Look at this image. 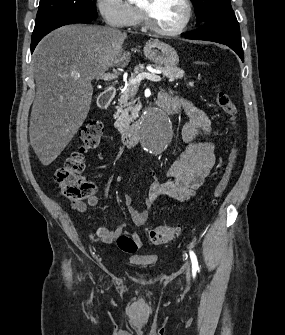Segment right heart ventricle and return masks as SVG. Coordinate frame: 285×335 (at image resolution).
I'll return each instance as SVG.
<instances>
[{"label": "right heart ventricle", "mask_w": 285, "mask_h": 335, "mask_svg": "<svg viewBox=\"0 0 285 335\" xmlns=\"http://www.w3.org/2000/svg\"><path fill=\"white\" fill-rule=\"evenodd\" d=\"M133 5H134V7H135V9H136V11H137V16H136V19H135V21L133 22V24L134 25H137V24H139L140 23V14H139V12H138V8H139V4H138V2L137 1H135L134 3H133ZM165 60H169V59H165Z\"/></svg>", "instance_id": "e07e8e85"}]
</instances>
